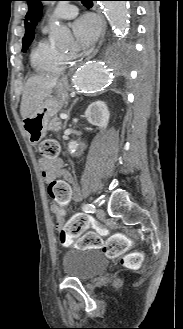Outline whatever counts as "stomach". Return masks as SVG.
Listing matches in <instances>:
<instances>
[{"label": "stomach", "instance_id": "stomach-1", "mask_svg": "<svg viewBox=\"0 0 183 329\" xmlns=\"http://www.w3.org/2000/svg\"><path fill=\"white\" fill-rule=\"evenodd\" d=\"M68 99L67 84L58 82L55 96L46 97L31 115L23 119L24 131L32 145H37L46 136L48 122L67 104Z\"/></svg>", "mask_w": 183, "mask_h": 329}]
</instances>
